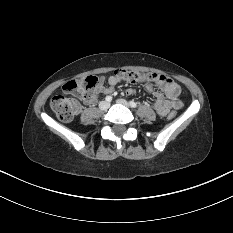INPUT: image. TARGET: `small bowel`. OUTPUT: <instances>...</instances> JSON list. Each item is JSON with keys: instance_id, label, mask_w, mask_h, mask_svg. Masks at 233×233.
<instances>
[{"instance_id": "obj_1", "label": "small bowel", "mask_w": 233, "mask_h": 233, "mask_svg": "<svg viewBox=\"0 0 233 233\" xmlns=\"http://www.w3.org/2000/svg\"><path fill=\"white\" fill-rule=\"evenodd\" d=\"M119 82L120 79L116 75L110 76L107 80L104 77L99 78L94 94L85 98V102L89 105L94 104L97 94H111ZM157 84L162 92L155 90L152 86H148L147 89L156 97L153 108L159 116H166L171 110L180 109L183 106L182 101L178 98L180 87L176 82L169 77L159 76ZM134 92L130 88L126 94L133 95Z\"/></svg>"}]
</instances>
